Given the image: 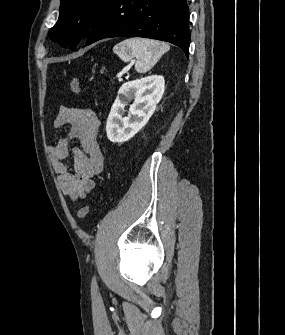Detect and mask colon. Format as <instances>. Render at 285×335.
Here are the masks:
<instances>
[{
    "mask_svg": "<svg viewBox=\"0 0 285 335\" xmlns=\"http://www.w3.org/2000/svg\"><path fill=\"white\" fill-rule=\"evenodd\" d=\"M70 87L75 94H81L82 92L81 85L76 77H73L71 79ZM89 212H90V205H85L81 207L78 211V218L84 220L88 216Z\"/></svg>",
    "mask_w": 285,
    "mask_h": 335,
    "instance_id": "obj_1",
    "label": "colon"
}]
</instances>
